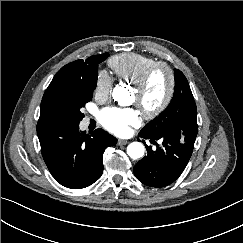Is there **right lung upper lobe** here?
I'll return each instance as SVG.
<instances>
[{
	"label": "right lung upper lobe",
	"mask_w": 243,
	"mask_h": 243,
	"mask_svg": "<svg viewBox=\"0 0 243 243\" xmlns=\"http://www.w3.org/2000/svg\"><path fill=\"white\" fill-rule=\"evenodd\" d=\"M102 55V54H101ZM101 55L91 56L86 61L76 60L63 66L54 76L47 90L53 86L68 82H87L97 75V61ZM38 123H45L40 118Z\"/></svg>",
	"instance_id": "cb5924a9"
}]
</instances>
